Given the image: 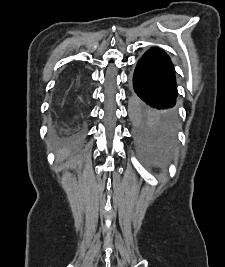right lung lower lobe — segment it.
<instances>
[{
    "instance_id": "right-lung-lower-lobe-1",
    "label": "right lung lower lobe",
    "mask_w": 225,
    "mask_h": 267,
    "mask_svg": "<svg viewBox=\"0 0 225 267\" xmlns=\"http://www.w3.org/2000/svg\"><path fill=\"white\" fill-rule=\"evenodd\" d=\"M85 74L81 69H74L70 71L63 79L62 85L70 91L75 89L83 80Z\"/></svg>"
}]
</instances>
